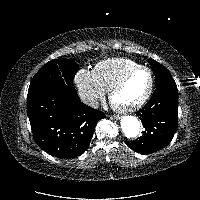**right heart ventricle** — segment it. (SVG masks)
Wrapping results in <instances>:
<instances>
[{
	"label": "right heart ventricle",
	"mask_w": 200,
	"mask_h": 200,
	"mask_svg": "<svg viewBox=\"0 0 200 200\" xmlns=\"http://www.w3.org/2000/svg\"><path fill=\"white\" fill-rule=\"evenodd\" d=\"M138 66L141 65L133 59L115 57L97 63L94 73L98 82L106 90H109L127 72Z\"/></svg>",
	"instance_id": "e07e8e85"
}]
</instances>
